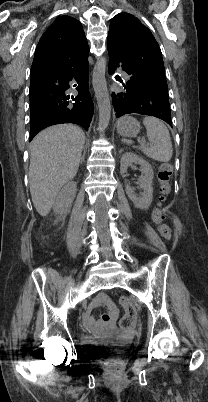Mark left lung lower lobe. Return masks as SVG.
Wrapping results in <instances>:
<instances>
[{
	"label": "left lung lower lobe",
	"instance_id": "obj_1",
	"mask_svg": "<svg viewBox=\"0 0 208 402\" xmlns=\"http://www.w3.org/2000/svg\"><path fill=\"white\" fill-rule=\"evenodd\" d=\"M109 52L108 73L113 74L118 67H121L128 75L129 80L123 84L120 91L112 93V103L117 118L130 113L151 115L164 120L169 125L171 113L169 97L161 94L154 87L144 84L131 76L129 52L112 38L107 39Z\"/></svg>",
	"mask_w": 208,
	"mask_h": 402
}]
</instances>
